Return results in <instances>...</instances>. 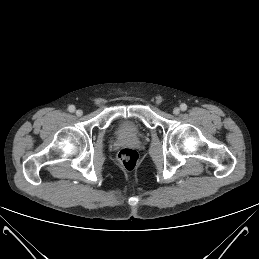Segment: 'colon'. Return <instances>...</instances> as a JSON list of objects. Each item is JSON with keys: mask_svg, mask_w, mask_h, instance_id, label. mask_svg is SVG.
Segmentation results:
<instances>
[{"mask_svg": "<svg viewBox=\"0 0 259 259\" xmlns=\"http://www.w3.org/2000/svg\"><path fill=\"white\" fill-rule=\"evenodd\" d=\"M138 153L131 148L121 149L118 153V162L126 170H132L137 163Z\"/></svg>", "mask_w": 259, "mask_h": 259, "instance_id": "1", "label": "colon"}]
</instances>
